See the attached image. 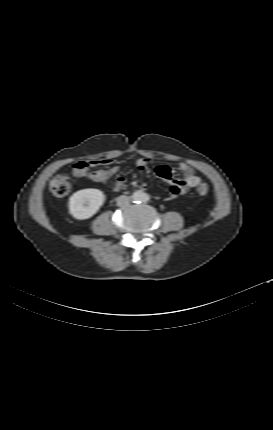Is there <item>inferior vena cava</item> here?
Listing matches in <instances>:
<instances>
[{"label": "inferior vena cava", "instance_id": "obj_1", "mask_svg": "<svg viewBox=\"0 0 273 430\" xmlns=\"http://www.w3.org/2000/svg\"><path fill=\"white\" fill-rule=\"evenodd\" d=\"M130 203V198L125 196V195H121L117 198V205L118 206H127Z\"/></svg>", "mask_w": 273, "mask_h": 430}]
</instances>
